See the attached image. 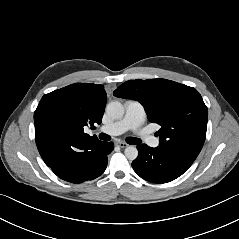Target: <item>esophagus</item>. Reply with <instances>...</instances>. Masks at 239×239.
<instances>
[{"label": "esophagus", "instance_id": "1", "mask_svg": "<svg viewBox=\"0 0 239 239\" xmlns=\"http://www.w3.org/2000/svg\"><path fill=\"white\" fill-rule=\"evenodd\" d=\"M116 145L119 146L120 148H126L128 146V144L125 142H118Z\"/></svg>", "mask_w": 239, "mask_h": 239}]
</instances>
